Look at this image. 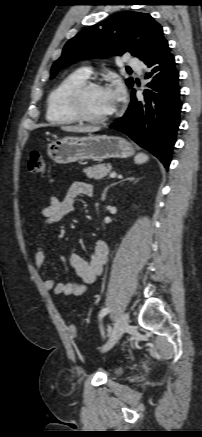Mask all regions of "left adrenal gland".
<instances>
[{"label":"left adrenal gland","mask_w":202,"mask_h":437,"mask_svg":"<svg viewBox=\"0 0 202 437\" xmlns=\"http://www.w3.org/2000/svg\"><path fill=\"white\" fill-rule=\"evenodd\" d=\"M134 179H135L134 177H131V178H128V179H126V180L134 181ZM122 181H125V180H121V181H119V182L113 183V184H111L110 186H108L107 188H105L104 193H103V199H105L106 193H107V191H108V189H109L110 187H112V186H114V185H116V184H118V183H120V182H122Z\"/></svg>","instance_id":"a2214340"}]
</instances>
